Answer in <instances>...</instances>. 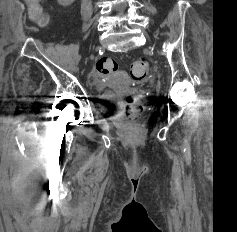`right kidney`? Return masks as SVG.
Listing matches in <instances>:
<instances>
[{
	"instance_id": "obj_1",
	"label": "right kidney",
	"mask_w": 237,
	"mask_h": 232,
	"mask_svg": "<svg viewBox=\"0 0 237 232\" xmlns=\"http://www.w3.org/2000/svg\"><path fill=\"white\" fill-rule=\"evenodd\" d=\"M57 1L61 6L67 7L71 5L75 0H57Z\"/></svg>"
}]
</instances>
